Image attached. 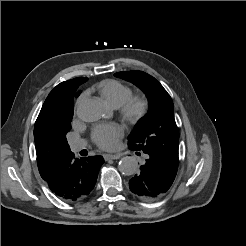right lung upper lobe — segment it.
<instances>
[{
    "label": "right lung upper lobe",
    "instance_id": "cb5924a9",
    "mask_svg": "<svg viewBox=\"0 0 246 246\" xmlns=\"http://www.w3.org/2000/svg\"><path fill=\"white\" fill-rule=\"evenodd\" d=\"M88 78H74L58 84L46 98L34 126V140L39 173L46 179L52 170L72 154L70 147L59 133L62 116L74 110V98Z\"/></svg>",
    "mask_w": 246,
    "mask_h": 246
}]
</instances>
